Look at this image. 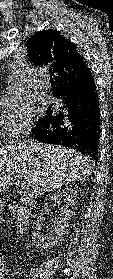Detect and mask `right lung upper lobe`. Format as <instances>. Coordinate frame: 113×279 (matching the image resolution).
Wrapping results in <instances>:
<instances>
[{
	"instance_id": "1",
	"label": "right lung upper lobe",
	"mask_w": 113,
	"mask_h": 279,
	"mask_svg": "<svg viewBox=\"0 0 113 279\" xmlns=\"http://www.w3.org/2000/svg\"><path fill=\"white\" fill-rule=\"evenodd\" d=\"M26 45L30 61L50 76L56 96L75 87L90 72L75 45L56 30H42Z\"/></svg>"
}]
</instances>
